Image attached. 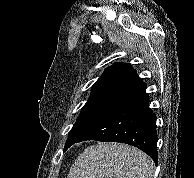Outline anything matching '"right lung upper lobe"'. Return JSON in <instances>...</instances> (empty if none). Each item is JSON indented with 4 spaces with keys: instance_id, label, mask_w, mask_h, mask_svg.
Returning a JSON list of instances; mask_svg holds the SVG:
<instances>
[{
    "instance_id": "1",
    "label": "right lung upper lobe",
    "mask_w": 194,
    "mask_h": 178,
    "mask_svg": "<svg viewBox=\"0 0 194 178\" xmlns=\"http://www.w3.org/2000/svg\"><path fill=\"white\" fill-rule=\"evenodd\" d=\"M146 85L129 63L109 66L92 87L89 100H111L123 104L146 96Z\"/></svg>"
}]
</instances>
